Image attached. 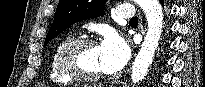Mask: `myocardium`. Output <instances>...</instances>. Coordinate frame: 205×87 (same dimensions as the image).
I'll return each instance as SVG.
<instances>
[{
  "label": "myocardium",
  "mask_w": 205,
  "mask_h": 87,
  "mask_svg": "<svg viewBox=\"0 0 205 87\" xmlns=\"http://www.w3.org/2000/svg\"><path fill=\"white\" fill-rule=\"evenodd\" d=\"M85 46H97V42L91 38H76L67 42L59 51L57 64L59 70L68 78L83 83H90L102 77V72L85 75L79 72L72 61L73 54Z\"/></svg>",
  "instance_id": "f54148a6"
}]
</instances>
